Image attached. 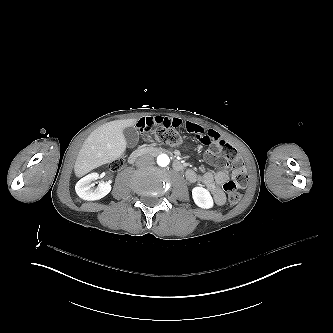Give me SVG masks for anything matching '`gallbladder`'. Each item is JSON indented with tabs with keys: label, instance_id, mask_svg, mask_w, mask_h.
I'll list each match as a JSON object with an SVG mask.
<instances>
[{
	"label": "gallbladder",
	"instance_id": "gallbladder-1",
	"mask_svg": "<svg viewBox=\"0 0 333 333\" xmlns=\"http://www.w3.org/2000/svg\"><path fill=\"white\" fill-rule=\"evenodd\" d=\"M124 138L129 148L135 147L139 142V132L135 127H128L123 130Z\"/></svg>",
	"mask_w": 333,
	"mask_h": 333
}]
</instances>
